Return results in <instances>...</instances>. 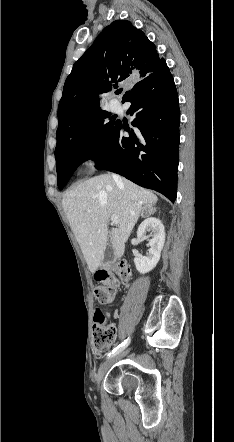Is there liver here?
Returning <instances> with one entry per match:
<instances>
[{
    "mask_svg": "<svg viewBox=\"0 0 234 442\" xmlns=\"http://www.w3.org/2000/svg\"><path fill=\"white\" fill-rule=\"evenodd\" d=\"M157 201L154 193L126 179L117 183L109 174L90 178L64 195L63 209L91 273L99 267L109 237L115 257L123 256L143 206ZM112 215L118 217L119 224L109 232Z\"/></svg>",
    "mask_w": 234,
    "mask_h": 442,
    "instance_id": "6515ba94",
    "label": "liver"
}]
</instances>
